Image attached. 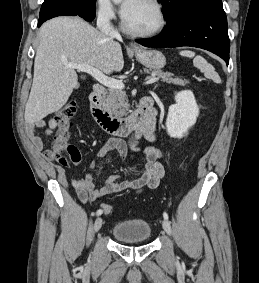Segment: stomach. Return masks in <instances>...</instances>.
<instances>
[{
	"label": "stomach",
	"instance_id": "stomach-1",
	"mask_svg": "<svg viewBox=\"0 0 259 283\" xmlns=\"http://www.w3.org/2000/svg\"><path fill=\"white\" fill-rule=\"evenodd\" d=\"M135 56L140 63L150 69L159 70L166 64L165 56L158 50H135Z\"/></svg>",
	"mask_w": 259,
	"mask_h": 283
}]
</instances>
